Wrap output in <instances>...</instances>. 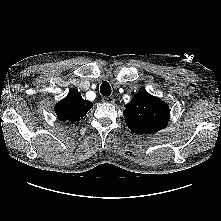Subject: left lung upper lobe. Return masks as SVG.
<instances>
[{
  "instance_id": "5c2ea615",
  "label": "left lung upper lobe",
  "mask_w": 221,
  "mask_h": 221,
  "mask_svg": "<svg viewBox=\"0 0 221 221\" xmlns=\"http://www.w3.org/2000/svg\"><path fill=\"white\" fill-rule=\"evenodd\" d=\"M123 112L129 129L136 134L156 133L164 128L170 116L167 105L146 91L137 93Z\"/></svg>"
}]
</instances>
